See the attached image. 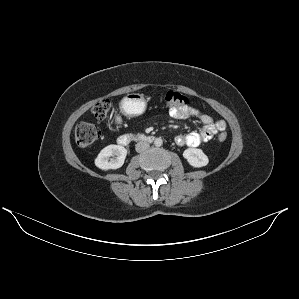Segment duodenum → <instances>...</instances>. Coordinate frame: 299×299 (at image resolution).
Masks as SVG:
<instances>
[{
	"label": "duodenum",
	"mask_w": 299,
	"mask_h": 299,
	"mask_svg": "<svg viewBox=\"0 0 299 299\" xmlns=\"http://www.w3.org/2000/svg\"><path fill=\"white\" fill-rule=\"evenodd\" d=\"M117 141L118 144L122 146H126L132 143L133 141H143V142L151 143L154 141V137L151 135H143V134L140 135L123 134L118 137Z\"/></svg>",
	"instance_id": "obj_1"
}]
</instances>
